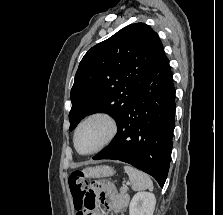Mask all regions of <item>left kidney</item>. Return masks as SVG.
I'll list each match as a JSON object with an SVG mask.
<instances>
[{
    "instance_id": "5707ae66",
    "label": "left kidney",
    "mask_w": 223,
    "mask_h": 215,
    "mask_svg": "<svg viewBox=\"0 0 223 215\" xmlns=\"http://www.w3.org/2000/svg\"><path fill=\"white\" fill-rule=\"evenodd\" d=\"M156 197L150 191H137L129 205V215H153Z\"/></svg>"
}]
</instances>
